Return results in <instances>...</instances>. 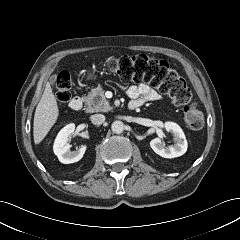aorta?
I'll use <instances>...</instances> for the list:
<instances>
[{
	"label": "aorta",
	"mask_w": 240,
	"mask_h": 240,
	"mask_svg": "<svg viewBox=\"0 0 240 240\" xmlns=\"http://www.w3.org/2000/svg\"><path fill=\"white\" fill-rule=\"evenodd\" d=\"M125 125L122 121H114L111 125L113 133L120 134L124 131Z\"/></svg>",
	"instance_id": "762f6f07"
}]
</instances>
